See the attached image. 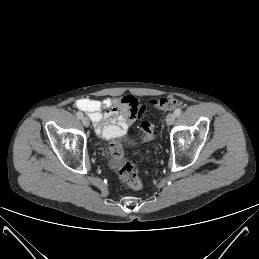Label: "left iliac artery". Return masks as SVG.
Here are the masks:
<instances>
[{
	"label": "left iliac artery",
	"mask_w": 259,
	"mask_h": 259,
	"mask_svg": "<svg viewBox=\"0 0 259 259\" xmlns=\"http://www.w3.org/2000/svg\"><path fill=\"white\" fill-rule=\"evenodd\" d=\"M174 114L175 116H179L181 114V109L180 108L175 109Z\"/></svg>",
	"instance_id": "1"
}]
</instances>
